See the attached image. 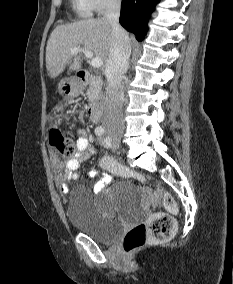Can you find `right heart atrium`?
Here are the masks:
<instances>
[{
    "label": "right heart atrium",
    "mask_w": 233,
    "mask_h": 284,
    "mask_svg": "<svg viewBox=\"0 0 233 284\" xmlns=\"http://www.w3.org/2000/svg\"><path fill=\"white\" fill-rule=\"evenodd\" d=\"M92 11L101 13L107 9L116 7L120 0H87Z\"/></svg>",
    "instance_id": "d8ad5b80"
}]
</instances>
